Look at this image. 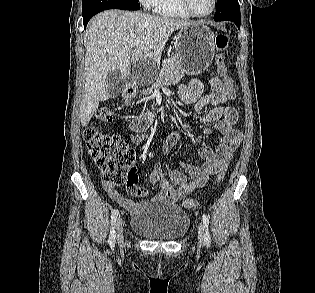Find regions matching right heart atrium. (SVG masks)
<instances>
[{"mask_svg":"<svg viewBox=\"0 0 315 293\" xmlns=\"http://www.w3.org/2000/svg\"><path fill=\"white\" fill-rule=\"evenodd\" d=\"M139 2L146 9H155L157 0H139Z\"/></svg>","mask_w":315,"mask_h":293,"instance_id":"1","label":"right heart atrium"}]
</instances>
